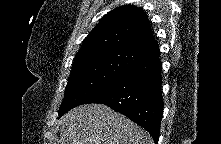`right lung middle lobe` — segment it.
<instances>
[{
    "label": "right lung middle lobe",
    "mask_w": 221,
    "mask_h": 144,
    "mask_svg": "<svg viewBox=\"0 0 221 144\" xmlns=\"http://www.w3.org/2000/svg\"><path fill=\"white\" fill-rule=\"evenodd\" d=\"M142 59L143 56L129 52L106 51L74 61L59 117L84 104L93 94L118 80Z\"/></svg>",
    "instance_id": "1"
}]
</instances>
